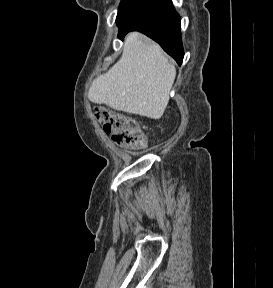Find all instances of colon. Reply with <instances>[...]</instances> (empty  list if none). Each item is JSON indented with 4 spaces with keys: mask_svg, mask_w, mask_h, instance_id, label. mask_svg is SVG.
<instances>
[{
    "mask_svg": "<svg viewBox=\"0 0 273 288\" xmlns=\"http://www.w3.org/2000/svg\"><path fill=\"white\" fill-rule=\"evenodd\" d=\"M94 116L116 145L133 149L145 146L146 135L134 118L106 107H96Z\"/></svg>",
    "mask_w": 273,
    "mask_h": 288,
    "instance_id": "1",
    "label": "colon"
}]
</instances>
